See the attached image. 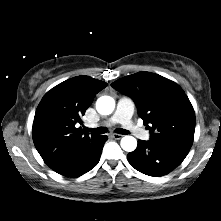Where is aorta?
<instances>
[{"label":"aorta","instance_id":"obj_1","mask_svg":"<svg viewBox=\"0 0 221 221\" xmlns=\"http://www.w3.org/2000/svg\"><path fill=\"white\" fill-rule=\"evenodd\" d=\"M115 108V101L110 96H102L96 102V109L101 115H109ZM121 147L127 152H132L137 147V140L133 136H124L121 139Z\"/></svg>","mask_w":221,"mask_h":221}]
</instances>
